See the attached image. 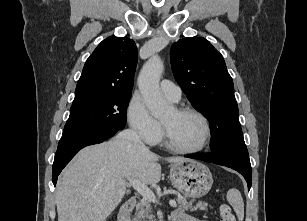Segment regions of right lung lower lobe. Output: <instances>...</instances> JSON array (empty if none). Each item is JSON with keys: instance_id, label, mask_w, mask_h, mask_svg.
Listing matches in <instances>:
<instances>
[{"instance_id": "98d812e1", "label": "right lung lower lobe", "mask_w": 307, "mask_h": 221, "mask_svg": "<svg viewBox=\"0 0 307 221\" xmlns=\"http://www.w3.org/2000/svg\"><path fill=\"white\" fill-rule=\"evenodd\" d=\"M118 131V130H117ZM117 131H112L100 135L89 136L81 140L69 143L57 148L52 171V181L56 185L58 175L75 154L88 145L98 144L113 136Z\"/></svg>"}]
</instances>
